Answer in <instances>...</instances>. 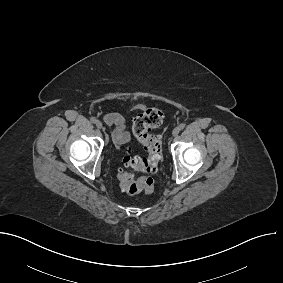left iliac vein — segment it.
<instances>
[{"mask_svg":"<svg viewBox=\"0 0 283 283\" xmlns=\"http://www.w3.org/2000/svg\"><path fill=\"white\" fill-rule=\"evenodd\" d=\"M179 131H180L179 128L173 129V131H172L173 136H177Z\"/></svg>","mask_w":283,"mask_h":283,"instance_id":"4c4485c4","label":"left iliac vein"}]
</instances>
